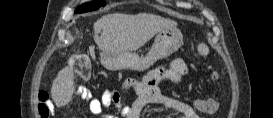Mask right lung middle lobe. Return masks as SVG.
Instances as JSON below:
<instances>
[{
	"mask_svg": "<svg viewBox=\"0 0 273 118\" xmlns=\"http://www.w3.org/2000/svg\"><path fill=\"white\" fill-rule=\"evenodd\" d=\"M101 6H104V3L101 1L84 3L77 7L75 13H85L88 11H93L99 9Z\"/></svg>",
	"mask_w": 273,
	"mask_h": 118,
	"instance_id": "1",
	"label": "right lung middle lobe"
}]
</instances>
